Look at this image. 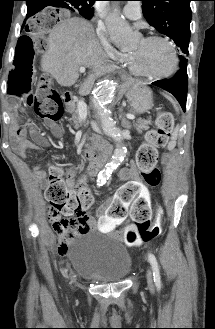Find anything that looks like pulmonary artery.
<instances>
[{"label": "pulmonary artery", "instance_id": "e3ab8cb5", "mask_svg": "<svg viewBox=\"0 0 215 329\" xmlns=\"http://www.w3.org/2000/svg\"><path fill=\"white\" fill-rule=\"evenodd\" d=\"M123 15L130 20H138L142 16L139 2H128L123 8Z\"/></svg>", "mask_w": 215, "mask_h": 329}]
</instances>
